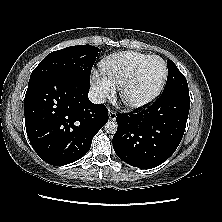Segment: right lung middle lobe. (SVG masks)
Here are the masks:
<instances>
[{
  "label": "right lung middle lobe",
  "mask_w": 222,
  "mask_h": 222,
  "mask_svg": "<svg viewBox=\"0 0 222 222\" xmlns=\"http://www.w3.org/2000/svg\"><path fill=\"white\" fill-rule=\"evenodd\" d=\"M99 48L91 45L66 47L48 54L34 69L30 82L39 78L62 75L90 82L92 66L98 55Z\"/></svg>",
  "instance_id": "obj_1"
}]
</instances>
